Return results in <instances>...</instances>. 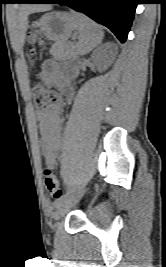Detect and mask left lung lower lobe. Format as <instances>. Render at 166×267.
I'll use <instances>...</instances> for the list:
<instances>
[{
  "instance_id": "1",
  "label": "left lung lower lobe",
  "mask_w": 166,
  "mask_h": 267,
  "mask_svg": "<svg viewBox=\"0 0 166 267\" xmlns=\"http://www.w3.org/2000/svg\"><path fill=\"white\" fill-rule=\"evenodd\" d=\"M27 3L64 4L108 27L124 43L138 0H32Z\"/></svg>"
}]
</instances>
